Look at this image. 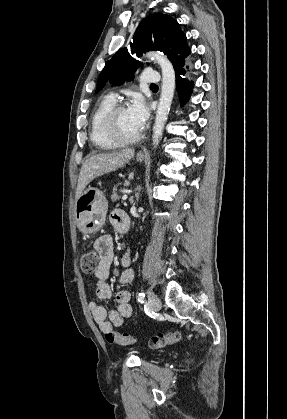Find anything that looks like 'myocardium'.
Returning a JSON list of instances; mask_svg holds the SVG:
<instances>
[{
	"label": "myocardium",
	"mask_w": 287,
	"mask_h": 419,
	"mask_svg": "<svg viewBox=\"0 0 287 419\" xmlns=\"http://www.w3.org/2000/svg\"><path fill=\"white\" fill-rule=\"evenodd\" d=\"M125 109V105L122 103L115 104L106 114L104 119V129L106 134L117 144L125 145V144H133L141 140L143 134L140 132L139 134L126 137L124 136L118 127V114L121 110Z\"/></svg>",
	"instance_id": "f54148a6"
}]
</instances>
